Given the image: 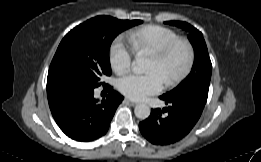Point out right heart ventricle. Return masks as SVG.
<instances>
[{
	"instance_id": "e07e8e85",
	"label": "right heart ventricle",
	"mask_w": 261,
	"mask_h": 162,
	"mask_svg": "<svg viewBox=\"0 0 261 162\" xmlns=\"http://www.w3.org/2000/svg\"><path fill=\"white\" fill-rule=\"evenodd\" d=\"M126 37L137 54L152 53L179 39V35L174 30L159 25H146L133 29Z\"/></svg>"
}]
</instances>
